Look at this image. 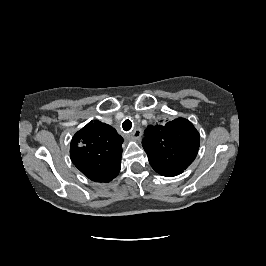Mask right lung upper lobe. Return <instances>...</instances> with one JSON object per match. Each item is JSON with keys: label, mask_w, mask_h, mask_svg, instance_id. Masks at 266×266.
<instances>
[{"label": "right lung upper lobe", "mask_w": 266, "mask_h": 266, "mask_svg": "<svg viewBox=\"0 0 266 266\" xmlns=\"http://www.w3.org/2000/svg\"><path fill=\"white\" fill-rule=\"evenodd\" d=\"M123 138L112 126L90 121L72 138L70 157L86 177L109 182L121 169Z\"/></svg>", "instance_id": "obj_1"}]
</instances>
